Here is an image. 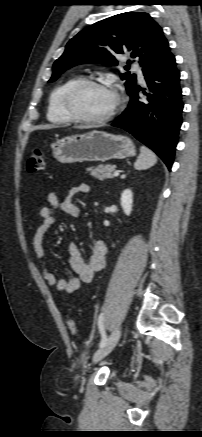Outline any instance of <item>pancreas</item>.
Here are the masks:
<instances>
[{
	"label": "pancreas",
	"mask_w": 202,
	"mask_h": 437,
	"mask_svg": "<svg viewBox=\"0 0 202 437\" xmlns=\"http://www.w3.org/2000/svg\"><path fill=\"white\" fill-rule=\"evenodd\" d=\"M90 172V175L94 178H97L99 180L104 179H112L113 178V172L115 170L114 165L106 164V165H100L95 168H88L87 169Z\"/></svg>",
	"instance_id": "cf45deb5"
}]
</instances>
